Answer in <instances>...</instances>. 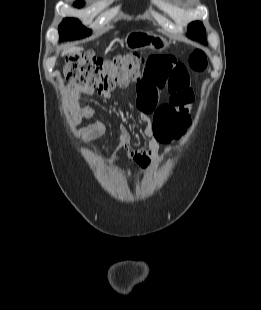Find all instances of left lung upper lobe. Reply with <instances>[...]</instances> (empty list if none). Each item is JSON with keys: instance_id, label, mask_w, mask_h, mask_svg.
<instances>
[{"instance_id": "5c2ea615", "label": "left lung upper lobe", "mask_w": 261, "mask_h": 310, "mask_svg": "<svg viewBox=\"0 0 261 310\" xmlns=\"http://www.w3.org/2000/svg\"><path fill=\"white\" fill-rule=\"evenodd\" d=\"M205 28L201 22H192L189 25V33L188 36L190 38H194L195 36L204 35Z\"/></svg>"}]
</instances>
